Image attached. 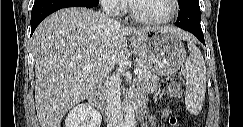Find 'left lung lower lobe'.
I'll return each instance as SVG.
<instances>
[{
	"instance_id": "left-lung-lower-lobe-1",
	"label": "left lung lower lobe",
	"mask_w": 243,
	"mask_h": 127,
	"mask_svg": "<svg viewBox=\"0 0 243 127\" xmlns=\"http://www.w3.org/2000/svg\"><path fill=\"white\" fill-rule=\"evenodd\" d=\"M181 11L178 14L175 25L194 34L204 45V35L201 29V12L199 0H187L180 4Z\"/></svg>"
}]
</instances>
